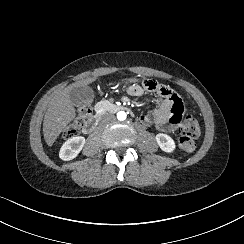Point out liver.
I'll return each instance as SVG.
<instances>
[{
  "label": "liver",
  "instance_id": "obj_1",
  "mask_svg": "<svg viewBox=\"0 0 244 244\" xmlns=\"http://www.w3.org/2000/svg\"><path fill=\"white\" fill-rule=\"evenodd\" d=\"M96 80V77L82 79L57 92L56 96L52 98L43 122L44 139L49 147L53 146L57 137L76 117V110L69 95L73 87H86Z\"/></svg>",
  "mask_w": 244,
  "mask_h": 244
}]
</instances>
